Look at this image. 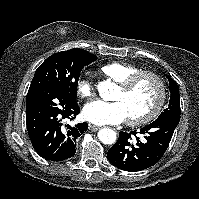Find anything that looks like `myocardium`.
<instances>
[{
    "instance_id": "myocardium-1",
    "label": "myocardium",
    "mask_w": 199,
    "mask_h": 199,
    "mask_svg": "<svg viewBox=\"0 0 199 199\" xmlns=\"http://www.w3.org/2000/svg\"><path fill=\"white\" fill-rule=\"evenodd\" d=\"M144 78H151L156 82V84L158 86V96H157V99H156L153 107L147 114H145L142 117H138V118L128 117L127 123L130 126L146 125V124L152 122L153 120H155L157 118V116L160 114V112L163 108V105L165 104V101H166L167 88H166L165 81L159 74L152 72V71H147V70L139 71V72L129 76L124 81L119 83V88L123 91H129Z\"/></svg>"
}]
</instances>
